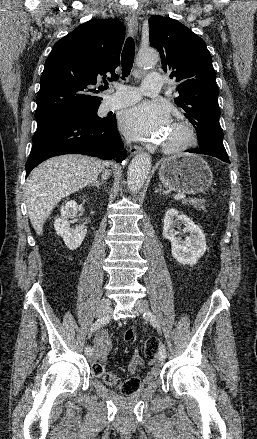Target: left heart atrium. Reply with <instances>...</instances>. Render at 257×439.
I'll list each match as a JSON object with an SVG mask.
<instances>
[{
  "label": "left heart atrium",
  "instance_id": "left-heart-atrium-1",
  "mask_svg": "<svg viewBox=\"0 0 257 439\" xmlns=\"http://www.w3.org/2000/svg\"><path fill=\"white\" fill-rule=\"evenodd\" d=\"M119 125L132 138L154 139L170 125V114L162 104L142 102L122 111Z\"/></svg>",
  "mask_w": 257,
  "mask_h": 439
}]
</instances>
